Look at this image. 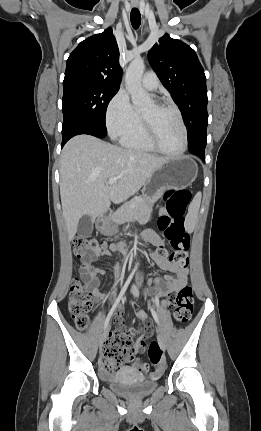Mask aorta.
I'll list each match as a JSON object with an SVG mask.
<instances>
[{"label":"aorta","instance_id":"obj_1","mask_svg":"<svg viewBox=\"0 0 261 431\" xmlns=\"http://www.w3.org/2000/svg\"><path fill=\"white\" fill-rule=\"evenodd\" d=\"M144 69V61L141 58H136L128 66L125 75L126 88L136 108L147 106L151 102L149 93L143 89L141 84Z\"/></svg>","mask_w":261,"mask_h":431}]
</instances>
